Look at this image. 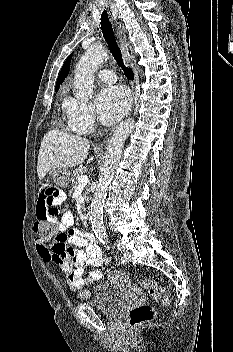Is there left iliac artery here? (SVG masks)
Instances as JSON below:
<instances>
[{
	"label": "left iliac artery",
	"instance_id": "obj_1",
	"mask_svg": "<svg viewBox=\"0 0 233 352\" xmlns=\"http://www.w3.org/2000/svg\"><path fill=\"white\" fill-rule=\"evenodd\" d=\"M121 263H125V258H124V256L123 257H121Z\"/></svg>",
	"mask_w": 233,
	"mask_h": 352
}]
</instances>
